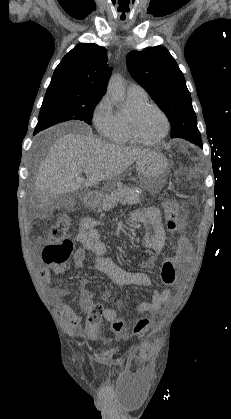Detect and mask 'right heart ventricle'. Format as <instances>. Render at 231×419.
I'll use <instances>...</instances> for the list:
<instances>
[{
  "instance_id": "1",
  "label": "right heart ventricle",
  "mask_w": 231,
  "mask_h": 419,
  "mask_svg": "<svg viewBox=\"0 0 231 419\" xmlns=\"http://www.w3.org/2000/svg\"><path fill=\"white\" fill-rule=\"evenodd\" d=\"M128 102L130 105L129 111H119L117 113L118 132L114 141L119 144L131 142L133 139L130 136L128 128V117L130 112L137 106L147 103V96H140L128 93Z\"/></svg>"
}]
</instances>
